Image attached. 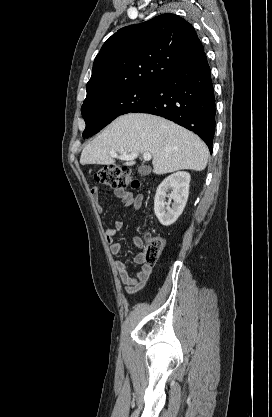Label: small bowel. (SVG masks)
Returning <instances> with one entry per match:
<instances>
[{"instance_id":"1","label":"small bowel","mask_w":272,"mask_h":417,"mask_svg":"<svg viewBox=\"0 0 272 417\" xmlns=\"http://www.w3.org/2000/svg\"><path fill=\"white\" fill-rule=\"evenodd\" d=\"M101 192L102 190L98 186L91 189V196L96 202H98ZM113 192L114 195L127 207H132L137 210L140 209L143 204L142 194L134 195L124 188H116ZM97 210L99 213H102V206L98 205ZM122 226L123 223L121 221H116L111 227H108L105 230V238L109 244L110 252L114 255H118L122 251L121 243L115 241V237L122 229ZM132 244L136 248H142L143 240L140 237L135 236L132 238ZM134 262L142 265L140 270L135 275H131L129 273V269L124 262H115V268L119 280L123 284V290L130 295L139 292L145 287L152 271V267L150 265L144 264L143 254L138 253L134 258Z\"/></svg>"}]
</instances>
